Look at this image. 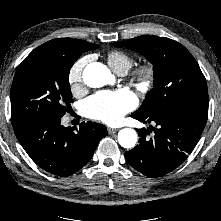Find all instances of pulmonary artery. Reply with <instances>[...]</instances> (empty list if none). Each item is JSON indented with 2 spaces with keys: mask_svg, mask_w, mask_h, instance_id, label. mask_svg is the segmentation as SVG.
Here are the masks:
<instances>
[{
  "mask_svg": "<svg viewBox=\"0 0 221 221\" xmlns=\"http://www.w3.org/2000/svg\"><path fill=\"white\" fill-rule=\"evenodd\" d=\"M126 72H127V71H125V70H121V71H118L117 73H118L119 75H125Z\"/></svg>",
  "mask_w": 221,
  "mask_h": 221,
  "instance_id": "e3ab8cb5",
  "label": "pulmonary artery"
}]
</instances>
